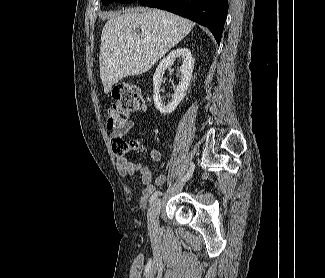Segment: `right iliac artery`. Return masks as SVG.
Instances as JSON below:
<instances>
[{"label": "right iliac artery", "mask_w": 325, "mask_h": 278, "mask_svg": "<svg viewBox=\"0 0 325 278\" xmlns=\"http://www.w3.org/2000/svg\"><path fill=\"white\" fill-rule=\"evenodd\" d=\"M194 169H195V165L192 163L191 166H190V169L188 170L187 174L184 176V178L182 179V181L188 180L192 176V174L194 172ZM159 193H160L159 191H156L151 196V198H150V204H152L156 200V198L159 195Z\"/></svg>", "instance_id": "right-iliac-artery-1"}]
</instances>
